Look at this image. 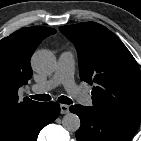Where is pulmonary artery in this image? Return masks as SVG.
<instances>
[{
    "label": "pulmonary artery",
    "instance_id": "e3ab8cb5",
    "mask_svg": "<svg viewBox=\"0 0 141 141\" xmlns=\"http://www.w3.org/2000/svg\"><path fill=\"white\" fill-rule=\"evenodd\" d=\"M74 55L70 51L62 52L58 58L57 67L53 76L42 83L34 84L31 91L34 93H44L58 85H63L65 90L75 98L80 104L90 106L91 96L74 82Z\"/></svg>",
    "mask_w": 141,
    "mask_h": 141
}]
</instances>
